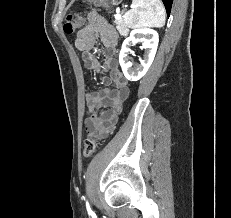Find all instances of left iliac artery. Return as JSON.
Here are the masks:
<instances>
[{"instance_id": "left-iliac-artery-1", "label": "left iliac artery", "mask_w": 231, "mask_h": 218, "mask_svg": "<svg viewBox=\"0 0 231 218\" xmlns=\"http://www.w3.org/2000/svg\"><path fill=\"white\" fill-rule=\"evenodd\" d=\"M86 208H87L88 213H92L88 202H86Z\"/></svg>"}]
</instances>
